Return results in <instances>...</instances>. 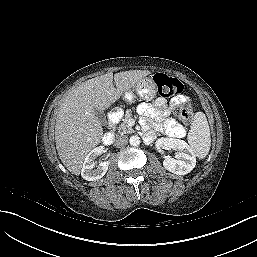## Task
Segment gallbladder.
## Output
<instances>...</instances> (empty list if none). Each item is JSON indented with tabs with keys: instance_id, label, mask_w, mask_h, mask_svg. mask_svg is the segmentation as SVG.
<instances>
[{
	"instance_id": "gallbladder-1",
	"label": "gallbladder",
	"mask_w": 257,
	"mask_h": 257,
	"mask_svg": "<svg viewBox=\"0 0 257 257\" xmlns=\"http://www.w3.org/2000/svg\"><path fill=\"white\" fill-rule=\"evenodd\" d=\"M95 115L97 116V118L99 119V121L101 123H105L106 122L105 116H104V114L101 111L95 110Z\"/></svg>"
}]
</instances>
